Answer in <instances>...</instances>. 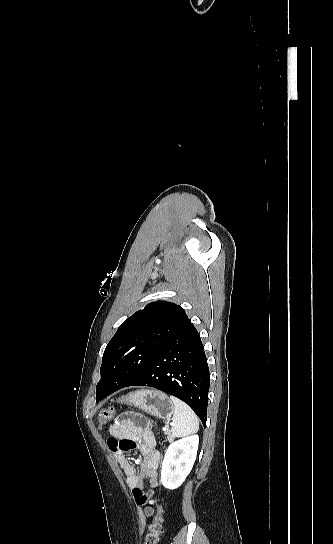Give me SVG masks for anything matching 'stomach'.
<instances>
[{"mask_svg": "<svg viewBox=\"0 0 333 544\" xmlns=\"http://www.w3.org/2000/svg\"><path fill=\"white\" fill-rule=\"evenodd\" d=\"M121 403L132 405L160 419H169L174 412V404L168 395L157 390H138L122 397Z\"/></svg>", "mask_w": 333, "mask_h": 544, "instance_id": "0dacf381", "label": "stomach"}]
</instances>
